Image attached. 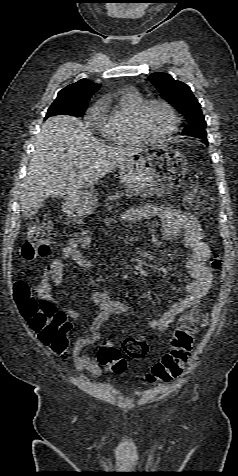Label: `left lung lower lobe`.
<instances>
[{
  "label": "left lung lower lobe",
  "instance_id": "0a47b994",
  "mask_svg": "<svg viewBox=\"0 0 238 476\" xmlns=\"http://www.w3.org/2000/svg\"><path fill=\"white\" fill-rule=\"evenodd\" d=\"M205 143L208 144V141L206 140Z\"/></svg>",
  "mask_w": 238,
  "mask_h": 476
}]
</instances>
